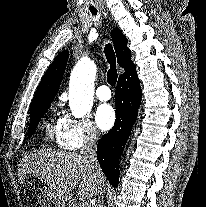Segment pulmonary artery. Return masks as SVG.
<instances>
[{
    "mask_svg": "<svg viewBox=\"0 0 206 207\" xmlns=\"http://www.w3.org/2000/svg\"><path fill=\"white\" fill-rule=\"evenodd\" d=\"M96 97L100 101H108L112 97V93L108 86L101 85L96 90Z\"/></svg>",
    "mask_w": 206,
    "mask_h": 207,
    "instance_id": "e3ab8cb5",
    "label": "pulmonary artery"
}]
</instances>
